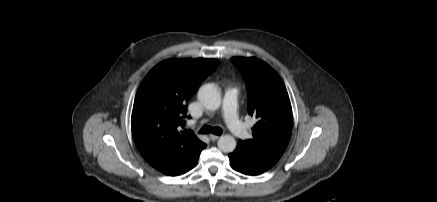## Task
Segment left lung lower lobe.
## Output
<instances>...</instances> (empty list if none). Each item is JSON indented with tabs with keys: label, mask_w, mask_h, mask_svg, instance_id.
I'll list each match as a JSON object with an SVG mask.
<instances>
[{
	"label": "left lung lower lobe",
	"mask_w": 437,
	"mask_h": 202,
	"mask_svg": "<svg viewBox=\"0 0 437 202\" xmlns=\"http://www.w3.org/2000/svg\"><path fill=\"white\" fill-rule=\"evenodd\" d=\"M229 159L234 170L246 175H259L272 167L249 154L239 144L234 152L229 154Z\"/></svg>",
	"instance_id": "left-lung-lower-lobe-1"
}]
</instances>
